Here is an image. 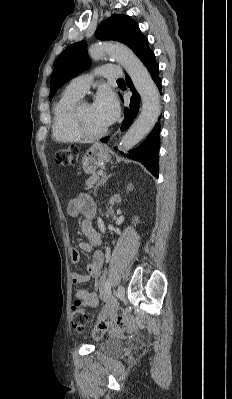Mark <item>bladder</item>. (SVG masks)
Instances as JSON below:
<instances>
[{
  "instance_id": "1",
  "label": "bladder",
  "mask_w": 232,
  "mask_h": 399,
  "mask_svg": "<svg viewBox=\"0 0 232 399\" xmlns=\"http://www.w3.org/2000/svg\"><path fill=\"white\" fill-rule=\"evenodd\" d=\"M99 351L105 355H115L120 353L121 345L117 340L110 339L99 346Z\"/></svg>"
}]
</instances>
